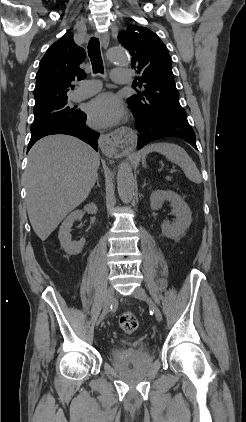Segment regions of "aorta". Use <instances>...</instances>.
<instances>
[{
    "label": "aorta",
    "instance_id": "762f6f07",
    "mask_svg": "<svg viewBox=\"0 0 246 422\" xmlns=\"http://www.w3.org/2000/svg\"><path fill=\"white\" fill-rule=\"evenodd\" d=\"M108 60L112 63L127 64L129 57L121 47H112L108 51ZM117 189L122 202L129 203L134 194V176L131 166L127 162L120 164L117 173Z\"/></svg>",
    "mask_w": 246,
    "mask_h": 422
}]
</instances>
